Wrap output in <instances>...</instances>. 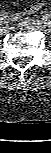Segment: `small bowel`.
I'll return each instance as SVG.
<instances>
[{
  "label": "small bowel",
  "mask_w": 51,
  "mask_h": 153,
  "mask_svg": "<svg viewBox=\"0 0 51 153\" xmlns=\"http://www.w3.org/2000/svg\"><path fill=\"white\" fill-rule=\"evenodd\" d=\"M44 6V2L42 0H37L36 2L32 3L31 5L27 6L23 11L12 13L10 15V19L13 21L20 20L26 16L33 15L39 12Z\"/></svg>",
  "instance_id": "small-bowel-1"
}]
</instances>
